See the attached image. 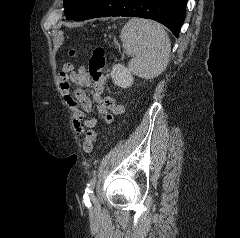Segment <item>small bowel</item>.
<instances>
[{
  "mask_svg": "<svg viewBox=\"0 0 240 238\" xmlns=\"http://www.w3.org/2000/svg\"><path fill=\"white\" fill-rule=\"evenodd\" d=\"M58 81L63 98L73 113V125L78 134H82L84 127L92 128L96 124L93 118H86V113L93 110V101L96 103V110L103 115L104 123L110 124L115 115L124 113V107L115 102L112 97H103L104 86L102 83L93 82L84 67L76 70L70 63H64L58 75ZM70 82L80 86L71 91ZM91 87V97L85 92V88ZM81 107V109L79 108Z\"/></svg>",
  "mask_w": 240,
  "mask_h": 238,
  "instance_id": "c3829d8e",
  "label": "small bowel"
}]
</instances>
